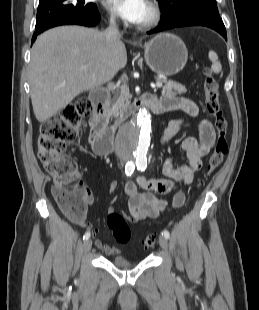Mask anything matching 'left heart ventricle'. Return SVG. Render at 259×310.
Here are the masks:
<instances>
[{
  "mask_svg": "<svg viewBox=\"0 0 259 310\" xmlns=\"http://www.w3.org/2000/svg\"><path fill=\"white\" fill-rule=\"evenodd\" d=\"M150 17H151V9L148 6V4L145 2L140 19L137 24H141V23L148 21Z\"/></svg>",
  "mask_w": 259,
  "mask_h": 310,
  "instance_id": "b2bd125f",
  "label": "left heart ventricle"
}]
</instances>
